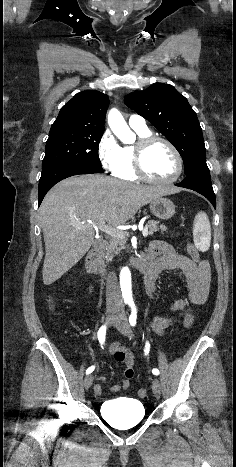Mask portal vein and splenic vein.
<instances>
[{"label":"portal vein and splenic vein","mask_w":236,"mask_h":467,"mask_svg":"<svg viewBox=\"0 0 236 467\" xmlns=\"http://www.w3.org/2000/svg\"><path fill=\"white\" fill-rule=\"evenodd\" d=\"M95 228L100 229L101 231H103L104 233L110 236L117 237V238H125V232H123L122 230H119L118 228H114V227L106 225L105 221H101L98 225L95 226ZM141 230H142L143 236L146 237L148 235V228L144 227Z\"/></svg>","instance_id":"1"}]
</instances>
